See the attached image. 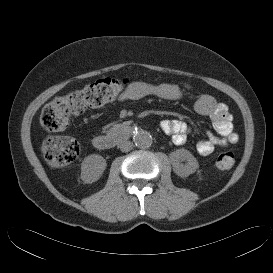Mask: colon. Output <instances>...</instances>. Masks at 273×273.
<instances>
[{
    "instance_id": "colon-1",
    "label": "colon",
    "mask_w": 273,
    "mask_h": 273,
    "mask_svg": "<svg viewBox=\"0 0 273 273\" xmlns=\"http://www.w3.org/2000/svg\"><path fill=\"white\" fill-rule=\"evenodd\" d=\"M130 84L128 79L104 78L58 97L43 108L40 116L41 126L49 132L62 131L67 127L72 115H79L88 108L115 101L124 95ZM42 153L51 167L63 168L76 160L79 144L67 136L48 137L42 143ZM234 162V154L225 151L217 156L216 167L228 170Z\"/></svg>"
}]
</instances>
